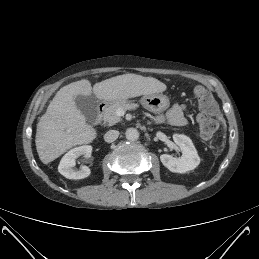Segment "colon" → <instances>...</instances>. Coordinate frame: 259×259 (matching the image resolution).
<instances>
[{"label": "colon", "instance_id": "5ec220e1", "mask_svg": "<svg viewBox=\"0 0 259 259\" xmlns=\"http://www.w3.org/2000/svg\"><path fill=\"white\" fill-rule=\"evenodd\" d=\"M194 96L201 108L197 116L200 135L205 139H210L219 128L216 102L211 93L202 86H197L194 89Z\"/></svg>", "mask_w": 259, "mask_h": 259}]
</instances>
